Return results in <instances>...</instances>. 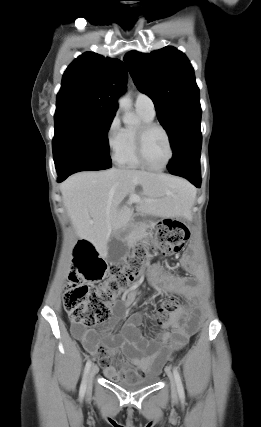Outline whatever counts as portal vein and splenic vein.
<instances>
[{
	"mask_svg": "<svg viewBox=\"0 0 261 427\" xmlns=\"http://www.w3.org/2000/svg\"><path fill=\"white\" fill-rule=\"evenodd\" d=\"M141 197L137 194H130L129 203H139L141 202Z\"/></svg>",
	"mask_w": 261,
	"mask_h": 427,
	"instance_id": "18ae733b",
	"label": "portal vein and splenic vein"
}]
</instances>
